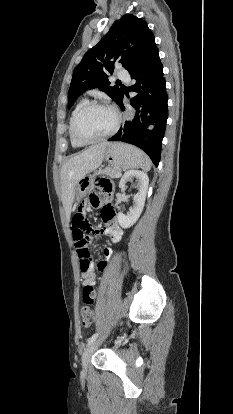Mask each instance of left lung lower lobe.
I'll return each instance as SVG.
<instances>
[{"instance_id":"1","label":"left lung lower lobe","mask_w":233,"mask_h":414,"mask_svg":"<svg viewBox=\"0 0 233 414\" xmlns=\"http://www.w3.org/2000/svg\"><path fill=\"white\" fill-rule=\"evenodd\" d=\"M131 78L135 81L130 91L137 92V95L130 103L136 109V114L109 141L133 144L158 165L168 118V96L159 52L156 51L143 67L131 74ZM122 99L118 105L124 111Z\"/></svg>"}]
</instances>
